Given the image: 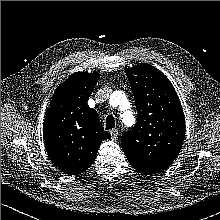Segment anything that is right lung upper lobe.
<instances>
[{
  "label": "right lung upper lobe",
  "mask_w": 220,
  "mask_h": 220,
  "mask_svg": "<svg viewBox=\"0 0 220 220\" xmlns=\"http://www.w3.org/2000/svg\"><path fill=\"white\" fill-rule=\"evenodd\" d=\"M98 73L76 72L55 91L45 116L43 138L54 165L68 175L87 170L100 144L110 138L97 112L87 105Z\"/></svg>",
  "instance_id": "1"
}]
</instances>
